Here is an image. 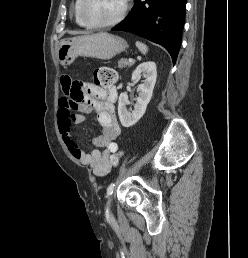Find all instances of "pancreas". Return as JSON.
Returning a JSON list of instances; mask_svg holds the SVG:
<instances>
[{
  "label": "pancreas",
  "mask_w": 248,
  "mask_h": 258,
  "mask_svg": "<svg viewBox=\"0 0 248 258\" xmlns=\"http://www.w3.org/2000/svg\"><path fill=\"white\" fill-rule=\"evenodd\" d=\"M131 65H133V62H129L127 59H120L118 61V67L119 68L131 66Z\"/></svg>",
  "instance_id": "pancreas-1"
}]
</instances>
